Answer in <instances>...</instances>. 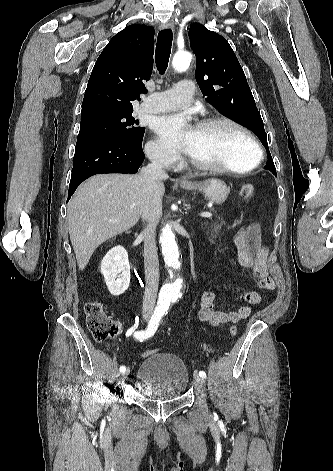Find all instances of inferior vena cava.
I'll return each mask as SVG.
<instances>
[{
	"label": "inferior vena cava",
	"mask_w": 333,
	"mask_h": 471,
	"mask_svg": "<svg viewBox=\"0 0 333 471\" xmlns=\"http://www.w3.org/2000/svg\"><path fill=\"white\" fill-rule=\"evenodd\" d=\"M141 173L149 183V188L153 186L156 178H166L168 176L157 157L146 167L142 168ZM161 215V200L149 194L143 201L141 208L142 219L147 223L143 230L146 288L142 311L145 314H152L153 312L159 285V260L155 242V231Z\"/></svg>",
	"instance_id": "1"
}]
</instances>
